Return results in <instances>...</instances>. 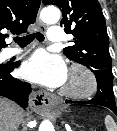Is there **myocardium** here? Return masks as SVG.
Here are the masks:
<instances>
[{"label": "myocardium", "instance_id": "obj_1", "mask_svg": "<svg viewBox=\"0 0 117 131\" xmlns=\"http://www.w3.org/2000/svg\"><path fill=\"white\" fill-rule=\"evenodd\" d=\"M69 75H78L81 79L79 87H69L64 85L61 94L70 99H85L92 96L97 90V80L95 75L87 67L74 64L69 69Z\"/></svg>", "mask_w": 117, "mask_h": 131}]
</instances>
